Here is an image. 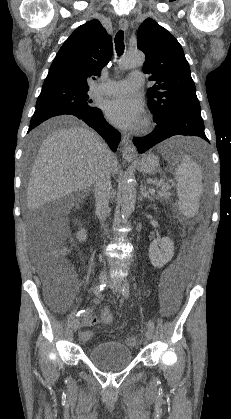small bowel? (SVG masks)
Masks as SVG:
<instances>
[{"instance_id":"obj_1","label":"small bowel","mask_w":231,"mask_h":419,"mask_svg":"<svg viewBox=\"0 0 231 419\" xmlns=\"http://www.w3.org/2000/svg\"><path fill=\"white\" fill-rule=\"evenodd\" d=\"M160 299L162 311L165 314H171L177 308L180 301V293L177 282L175 279L170 278L167 274H165L161 280ZM97 323V317L92 315L90 310H87L82 323V326L84 327L81 331L83 341L88 342L91 340L93 332L89 328Z\"/></svg>"}]
</instances>
